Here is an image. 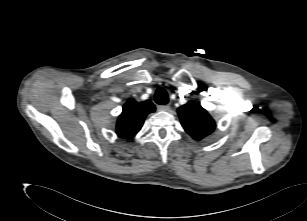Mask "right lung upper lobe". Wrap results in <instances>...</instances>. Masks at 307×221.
<instances>
[{
  "label": "right lung upper lobe",
  "mask_w": 307,
  "mask_h": 221,
  "mask_svg": "<svg viewBox=\"0 0 307 221\" xmlns=\"http://www.w3.org/2000/svg\"><path fill=\"white\" fill-rule=\"evenodd\" d=\"M155 111V106L150 101L137 102L129 99L123 106L120 114L116 133L121 138H130L136 135L141 129L145 117Z\"/></svg>",
  "instance_id": "cb5924a9"
}]
</instances>
